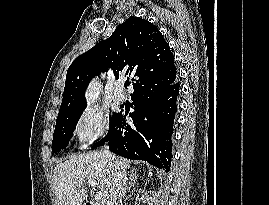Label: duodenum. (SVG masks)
I'll return each instance as SVG.
<instances>
[{"label":"duodenum","instance_id":"duodenum-1","mask_svg":"<svg viewBox=\"0 0 269 205\" xmlns=\"http://www.w3.org/2000/svg\"><path fill=\"white\" fill-rule=\"evenodd\" d=\"M84 205H95V204L92 203V202H87V203H85Z\"/></svg>","mask_w":269,"mask_h":205}]
</instances>
